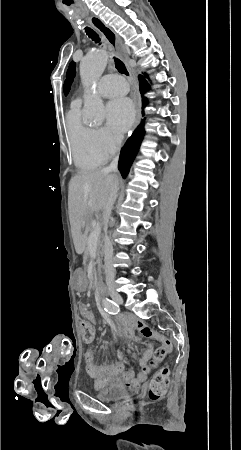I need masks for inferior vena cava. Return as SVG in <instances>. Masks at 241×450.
I'll return each instance as SVG.
<instances>
[{
  "instance_id": "602c4592",
  "label": "inferior vena cava",
  "mask_w": 241,
  "mask_h": 450,
  "mask_svg": "<svg viewBox=\"0 0 241 450\" xmlns=\"http://www.w3.org/2000/svg\"><path fill=\"white\" fill-rule=\"evenodd\" d=\"M118 144H122L123 136H119L117 138ZM118 160L119 156H116L114 158L113 162H111L110 166L108 168H104L105 174H109V172H117V166H118ZM117 184H115L114 188H112L110 200H108L106 206H105V212H107L108 216L111 214L112 206L117 198ZM108 224V222H107ZM107 224H105V238H104V270H105V276H106V282L107 284H112L114 278H115V270L113 266V244L107 236Z\"/></svg>"
}]
</instances>
